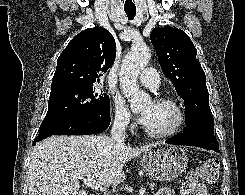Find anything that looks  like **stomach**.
Returning <instances> with one entry per match:
<instances>
[{
  "mask_svg": "<svg viewBox=\"0 0 245 195\" xmlns=\"http://www.w3.org/2000/svg\"><path fill=\"white\" fill-rule=\"evenodd\" d=\"M185 151L177 146L158 144L141 156V165L147 176L158 181H170L180 176L187 167Z\"/></svg>",
  "mask_w": 245,
  "mask_h": 195,
  "instance_id": "1",
  "label": "stomach"
}]
</instances>
